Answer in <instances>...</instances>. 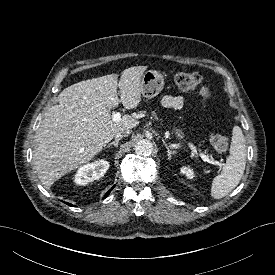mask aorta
Segmentation results:
<instances>
[{"instance_id":"aorta-1","label":"aorta","mask_w":275,"mask_h":275,"mask_svg":"<svg viewBox=\"0 0 275 275\" xmlns=\"http://www.w3.org/2000/svg\"><path fill=\"white\" fill-rule=\"evenodd\" d=\"M134 150L138 155L148 156L153 151V145L149 140L141 139L135 144Z\"/></svg>"}]
</instances>
